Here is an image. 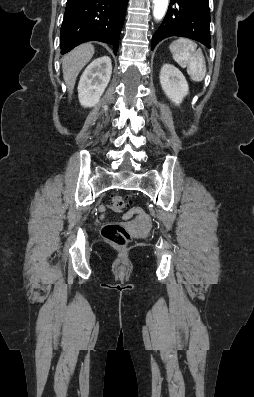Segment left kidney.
Returning <instances> with one entry per match:
<instances>
[{
	"label": "left kidney",
	"instance_id": "5707ae66",
	"mask_svg": "<svg viewBox=\"0 0 254 397\" xmlns=\"http://www.w3.org/2000/svg\"><path fill=\"white\" fill-rule=\"evenodd\" d=\"M160 83L166 96L175 105H179L189 92L184 75L171 64H164L160 72Z\"/></svg>",
	"mask_w": 254,
	"mask_h": 397
}]
</instances>
